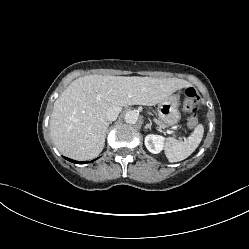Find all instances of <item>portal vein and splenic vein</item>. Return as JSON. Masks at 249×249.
<instances>
[{"instance_id": "1", "label": "portal vein and splenic vein", "mask_w": 249, "mask_h": 249, "mask_svg": "<svg viewBox=\"0 0 249 249\" xmlns=\"http://www.w3.org/2000/svg\"><path fill=\"white\" fill-rule=\"evenodd\" d=\"M167 132H168L169 134L173 133V131H170V130H167Z\"/></svg>"}]
</instances>
